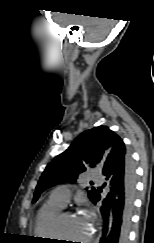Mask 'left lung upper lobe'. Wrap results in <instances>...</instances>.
Here are the masks:
<instances>
[{
	"instance_id": "left-lung-upper-lobe-1",
	"label": "left lung upper lobe",
	"mask_w": 154,
	"mask_h": 243,
	"mask_svg": "<svg viewBox=\"0 0 154 243\" xmlns=\"http://www.w3.org/2000/svg\"><path fill=\"white\" fill-rule=\"evenodd\" d=\"M124 149L122 139L106 126L84 131L66 151L47 165L39 179L33 202H36L46 188L66 181L75 182L78 175L86 171L87 167L103 165L109 155H117ZM87 193L92 201L97 189L92 187Z\"/></svg>"
}]
</instances>
